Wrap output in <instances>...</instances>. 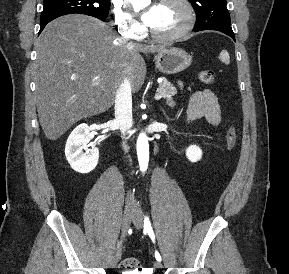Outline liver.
<instances>
[{
  "label": "liver",
  "instance_id": "obj_1",
  "mask_svg": "<svg viewBox=\"0 0 289 274\" xmlns=\"http://www.w3.org/2000/svg\"><path fill=\"white\" fill-rule=\"evenodd\" d=\"M164 48L125 42L86 15L49 23L36 44L34 65L37 111L46 138L57 140L77 121L108 110L124 78L137 92L146 77L140 53Z\"/></svg>",
  "mask_w": 289,
  "mask_h": 274
}]
</instances>
